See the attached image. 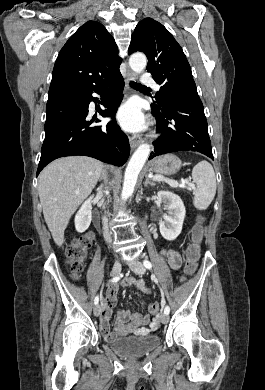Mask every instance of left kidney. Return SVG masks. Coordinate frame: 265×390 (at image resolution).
<instances>
[{
    "mask_svg": "<svg viewBox=\"0 0 265 390\" xmlns=\"http://www.w3.org/2000/svg\"><path fill=\"white\" fill-rule=\"evenodd\" d=\"M157 199L167 210L160 222V233L168 241L175 240L182 231L186 214L184 203L178 195L169 191H159Z\"/></svg>",
    "mask_w": 265,
    "mask_h": 390,
    "instance_id": "1",
    "label": "left kidney"
}]
</instances>
